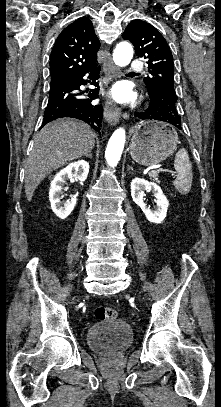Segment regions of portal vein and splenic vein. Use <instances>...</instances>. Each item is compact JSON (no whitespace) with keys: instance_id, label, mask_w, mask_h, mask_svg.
<instances>
[{"instance_id":"obj_1","label":"portal vein and splenic vein","mask_w":221,"mask_h":407,"mask_svg":"<svg viewBox=\"0 0 221 407\" xmlns=\"http://www.w3.org/2000/svg\"><path fill=\"white\" fill-rule=\"evenodd\" d=\"M160 172L171 173L172 175L175 174V172H173V171H171V170H169V169H163V168L160 167V166L156 167V170L153 171L152 174H157V173H160Z\"/></svg>"}]
</instances>
